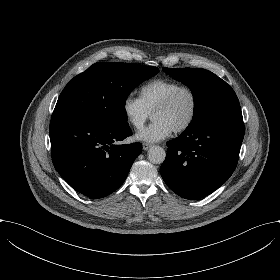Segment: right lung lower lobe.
I'll return each instance as SVG.
<instances>
[{"label":"right lung lower lobe","mask_w":280,"mask_h":280,"mask_svg":"<svg viewBox=\"0 0 280 280\" xmlns=\"http://www.w3.org/2000/svg\"><path fill=\"white\" fill-rule=\"evenodd\" d=\"M127 124H100L83 117L52 115V161L61 177L89 198H103L125 181L141 143L119 145L131 136Z\"/></svg>","instance_id":"1"}]
</instances>
